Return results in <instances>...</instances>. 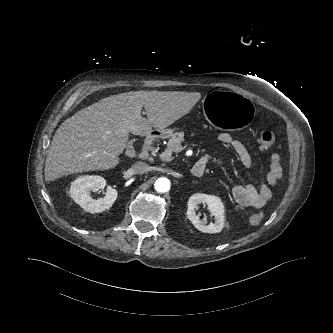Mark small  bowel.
<instances>
[{"label":"small bowel","mask_w":333,"mask_h":333,"mask_svg":"<svg viewBox=\"0 0 333 333\" xmlns=\"http://www.w3.org/2000/svg\"><path fill=\"white\" fill-rule=\"evenodd\" d=\"M219 141L233 149L240 163L245 168L251 167V154L241 141L227 132H222L219 135ZM198 162L206 166L209 162H216V159L213 156L207 155L201 158ZM281 178L282 167L280 157L277 154H273L270 157V169L265 180L259 181L256 185H235L232 188V196L237 203L243 206L261 208L272 198L270 186H274Z\"/></svg>","instance_id":"small-bowel-1"}]
</instances>
